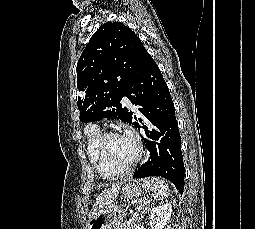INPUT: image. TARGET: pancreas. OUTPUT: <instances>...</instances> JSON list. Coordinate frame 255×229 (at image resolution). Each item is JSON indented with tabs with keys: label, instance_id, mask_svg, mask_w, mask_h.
<instances>
[{
	"label": "pancreas",
	"instance_id": "cf45deb5",
	"mask_svg": "<svg viewBox=\"0 0 255 229\" xmlns=\"http://www.w3.org/2000/svg\"><path fill=\"white\" fill-rule=\"evenodd\" d=\"M115 229H131V226L127 224H117Z\"/></svg>",
	"mask_w": 255,
	"mask_h": 229
}]
</instances>
